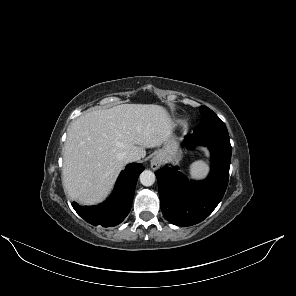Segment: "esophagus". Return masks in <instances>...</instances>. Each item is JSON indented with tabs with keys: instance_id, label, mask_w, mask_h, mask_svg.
Instances as JSON below:
<instances>
[{
	"instance_id": "obj_1",
	"label": "esophagus",
	"mask_w": 296,
	"mask_h": 296,
	"mask_svg": "<svg viewBox=\"0 0 296 296\" xmlns=\"http://www.w3.org/2000/svg\"><path fill=\"white\" fill-rule=\"evenodd\" d=\"M162 164V159L159 156H155L152 160H151V168L153 170L158 169Z\"/></svg>"
}]
</instances>
